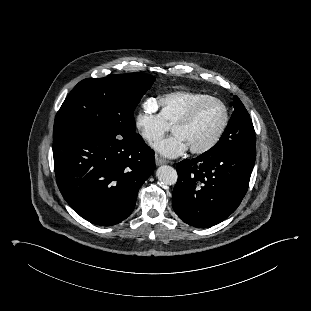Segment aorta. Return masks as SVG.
I'll return each mask as SVG.
<instances>
[{
	"label": "aorta",
	"instance_id": "762f6f07",
	"mask_svg": "<svg viewBox=\"0 0 311 311\" xmlns=\"http://www.w3.org/2000/svg\"><path fill=\"white\" fill-rule=\"evenodd\" d=\"M156 177L162 184L174 185L177 182L178 175L173 167L162 165L157 169Z\"/></svg>",
	"mask_w": 311,
	"mask_h": 311
}]
</instances>
